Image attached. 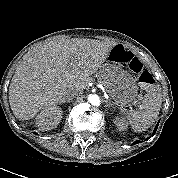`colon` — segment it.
<instances>
[{
  "label": "colon",
  "instance_id": "colon-1",
  "mask_svg": "<svg viewBox=\"0 0 178 178\" xmlns=\"http://www.w3.org/2000/svg\"><path fill=\"white\" fill-rule=\"evenodd\" d=\"M130 68L137 74L139 82L144 87H149L154 83L153 77L150 73L143 67L141 62L134 58L130 63Z\"/></svg>",
  "mask_w": 178,
  "mask_h": 178
}]
</instances>
